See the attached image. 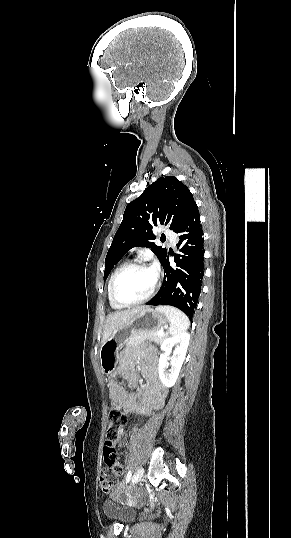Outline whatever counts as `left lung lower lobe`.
Returning a JSON list of instances; mask_svg holds the SVG:
<instances>
[{"instance_id":"left-lung-lower-lobe-1","label":"left lung lower lobe","mask_w":291,"mask_h":538,"mask_svg":"<svg viewBox=\"0 0 291 538\" xmlns=\"http://www.w3.org/2000/svg\"><path fill=\"white\" fill-rule=\"evenodd\" d=\"M174 232L179 235L177 247L182 254L175 255L176 267L173 268L168 263L167 253L161 262L165 271L163 285L146 304L171 305L192 318L204 276L203 232L198 208Z\"/></svg>"}]
</instances>
